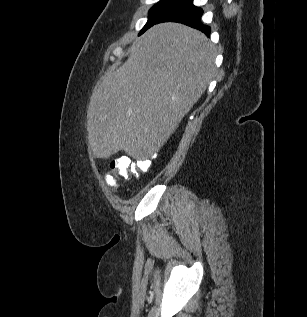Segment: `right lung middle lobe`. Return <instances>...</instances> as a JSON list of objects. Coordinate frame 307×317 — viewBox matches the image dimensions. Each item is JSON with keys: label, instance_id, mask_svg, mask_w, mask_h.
Wrapping results in <instances>:
<instances>
[{"label": "right lung middle lobe", "instance_id": "1", "mask_svg": "<svg viewBox=\"0 0 307 317\" xmlns=\"http://www.w3.org/2000/svg\"><path fill=\"white\" fill-rule=\"evenodd\" d=\"M175 0H160L157 4H155L149 10V17L146 25L142 29L141 33H143L144 29L152 24L166 9H168Z\"/></svg>", "mask_w": 307, "mask_h": 317}]
</instances>
